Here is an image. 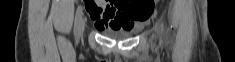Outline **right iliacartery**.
I'll list each match as a JSON object with an SVG mask.
<instances>
[{"label":"right iliac artery","mask_w":235,"mask_h":62,"mask_svg":"<svg viewBox=\"0 0 235 62\" xmlns=\"http://www.w3.org/2000/svg\"><path fill=\"white\" fill-rule=\"evenodd\" d=\"M82 7L79 6L76 11V16H75V24H74V34L75 36L77 35L81 20H82Z\"/></svg>","instance_id":"82829eb1"}]
</instances>
